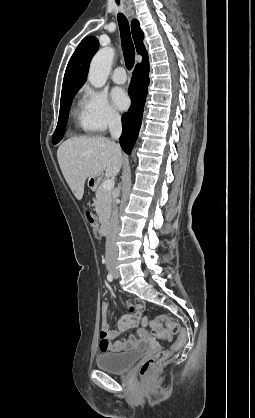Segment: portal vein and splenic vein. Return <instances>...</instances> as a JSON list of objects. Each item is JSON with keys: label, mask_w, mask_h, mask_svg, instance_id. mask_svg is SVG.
Listing matches in <instances>:
<instances>
[{"label": "portal vein and splenic vein", "mask_w": 255, "mask_h": 418, "mask_svg": "<svg viewBox=\"0 0 255 418\" xmlns=\"http://www.w3.org/2000/svg\"><path fill=\"white\" fill-rule=\"evenodd\" d=\"M102 186L105 190H111L114 187V181L112 179H107L102 183Z\"/></svg>", "instance_id": "18ae733b"}]
</instances>
